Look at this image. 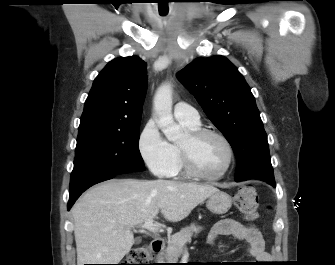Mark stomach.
Returning <instances> with one entry per match:
<instances>
[{"label": "stomach", "instance_id": "stomach-1", "mask_svg": "<svg viewBox=\"0 0 335 265\" xmlns=\"http://www.w3.org/2000/svg\"><path fill=\"white\" fill-rule=\"evenodd\" d=\"M232 205V198L223 191L213 193L207 200V208L214 214H224L228 212Z\"/></svg>", "mask_w": 335, "mask_h": 265}]
</instances>
